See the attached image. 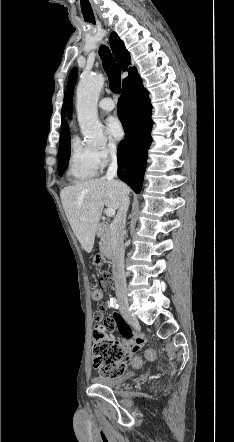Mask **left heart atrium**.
I'll return each mask as SVG.
<instances>
[{
    "label": "left heart atrium",
    "instance_id": "left-heart-atrium-1",
    "mask_svg": "<svg viewBox=\"0 0 234 442\" xmlns=\"http://www.w3.org/2000/svg\"><path fill=\"white\" fill-rule=\"evenodd\" d=\"M106 129L109 137L114 141H119L124 136L123 125L121 121L115 116H111L107 119Z\"/></svg>",
    "mask_w": 234,
    "mask_h": 442
}]
</instances>
